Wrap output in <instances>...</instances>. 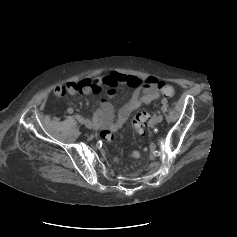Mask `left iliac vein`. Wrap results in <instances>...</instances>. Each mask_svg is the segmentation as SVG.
Segmentation results:
<instances>
[{
    "mask_svg": "<svg viewBox=\"0 0 237 237\" xmlns=\"http://www.w3.org/2000/svg\"><path fill=\"white\" fill-rule=\"evenodd\" d=\"M162 121H163V116L162 115L157 116L156 122L161 123Z\"/></svg>",
    "mask_w": 237,
    "mask_h": 237,
    "instance_id": "obj_1",
    "label": "left iliac vein"
}]
</instances>
